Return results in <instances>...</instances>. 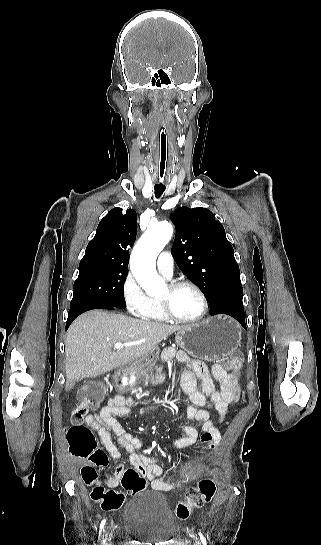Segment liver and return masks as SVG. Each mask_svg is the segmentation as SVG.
Here are the masks:
<instances>
[{
    "mask_svg": "<svg viewBox=\"0 0 321 545\" xmlns=\"http://www.w3.org/2000/svg\"><path fill=\"white\" fill-rule=\"evenodd\" d=\"M181 329L184 327L180 325L150 323L105 311H88L80 315L67 331L66 391L84 377H99L118 367H127ZM115 343L137 345L114 349Z\"/></svg>",
    "mask_w": 321,
    "mask_h": 545,
    "instance_id": "1",
    "label": "liver"
}]
</instances>
